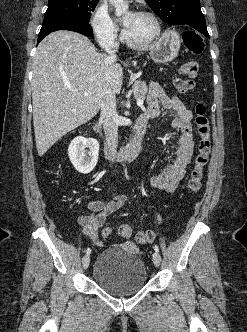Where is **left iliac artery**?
<instances>
[{"mask_svg": "<svg viewBox=\"0 0 247 332\" xmlns=\"http://www.w3.org/2000/svg\"><path fill=\"white\" fill-rule=\"evenodd\" d=\"M154 250L156 251V252H159V247L155 244L154 245Z\"/></svg>", "mask_w": 247, "mask_h": 332, "instance_id": "left-iliac-artery-1", "label": "left iliac artery"}]
</instances>
